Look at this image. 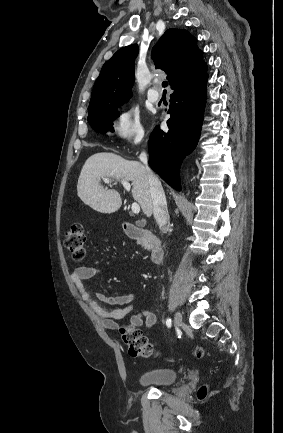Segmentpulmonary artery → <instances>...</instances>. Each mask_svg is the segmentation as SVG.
<instances>
[{"instance_id":"pulmonary-artery-1","label":"pulmonary artery","mask_w":283,"mask_h":433,"mask_svg":"<svg viewBox=\"0 0 283 433\" xmlns=\"http://www.w3.org/2000/svg\"><path fill=\"white\" fill-rule=\"evenodd\" d=\"M147 98H148V100H149L150 102H152V103H157V102L160 101L161 96L158 95V94H153V93H150V92H149V93L147 94Z\"/></svg>"}]
</instances>
